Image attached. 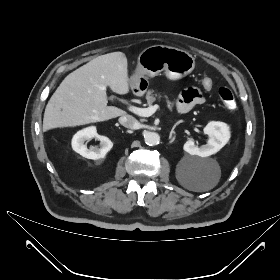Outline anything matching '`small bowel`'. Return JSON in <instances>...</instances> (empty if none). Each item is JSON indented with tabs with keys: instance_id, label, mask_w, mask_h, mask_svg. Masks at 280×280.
Masks as SVG:
<instances>
[{
	"instance_id": "small-bowel-1",
	"label": "small bowel",
	"mask_w": 280,
	"mask_h": 280,
	"mask_svg": "<svg viewBox=\"0 0 280 280\" xmlns=\"http://www.w3.org/2000/svg\"><path fill=\"white\" fill-rule=\"evenodd\" d=\"M204 101V97L201 92L194 88H189L184 91L178 99V110L180 112H187L195 105L201 104Z\"/></svg>"
}]
</instances>
